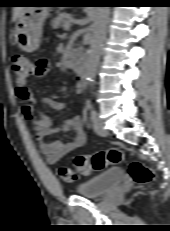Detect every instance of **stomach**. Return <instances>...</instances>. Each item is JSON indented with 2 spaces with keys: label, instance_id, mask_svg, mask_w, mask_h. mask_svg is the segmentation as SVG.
<instances>
[{
  "label": "stomach",
  "instance_id": "stomach-1",
  "mask_svg": "<svg viewBox=\"0 0 170 231\" xmlns=\"http://www.w3.org/2000/svg\"><path fill=\"white\" fill-rule=\"evenodd\" d=\"M48 15V7H26L19 15L13 35L23 51L32 52L39 47L42 26Z\"/></svg>",
  "mask_w": 170,
  "mask_h": 231
}]
</instances>
